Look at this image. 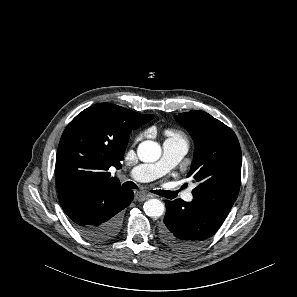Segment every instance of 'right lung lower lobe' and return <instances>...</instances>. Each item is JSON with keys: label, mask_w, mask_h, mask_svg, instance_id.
<instances>
[{"label": "right lung lower lobe", "mask_w": 297, "mask_h": 297, "mask_svg": "<svg viewBox=\"0 0 297 297\" xmlns=\"http://www.w3.org/2000/svg\"><path fill=\"white\" fill-rule=\"evenodd\" d=\"M130 189L112 185L82 188L62 203L66 215L84 237L104 242L115 237L121 228L122 210L133 200Z\"/></svg>", "instance_id": "obj_1"}]
</instances>
